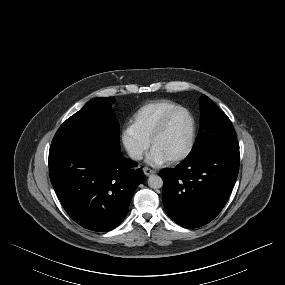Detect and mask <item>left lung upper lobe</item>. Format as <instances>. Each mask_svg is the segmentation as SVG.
<instances>
[{
  "label": "left lung upper lobe",
  "instance_id": "1",
  "mask_svg": "<svg viewBox=\"0 0 285 285\" xmlns=\"http://www.w3.org/2000/svg\"><path fill=\"white\" fill-rule=\"evenodd\" d=\"M200 109L199 134L185 160H194L223 151H238L239 143L228 116L205 95L200 98Z\"/></svg>",
  "mask_w": 285,
  "mask_h": 285
}]
</instances>
